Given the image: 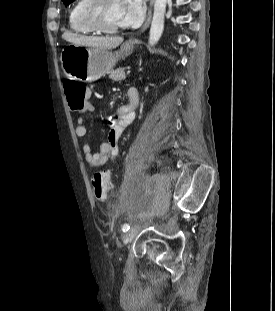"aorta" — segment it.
I'll use <instances>...</instances> for the list:
<instances>
[{
  "mask_svg": "<svg viewBox=\"0 0 275 311\" xmlns=\"http://www.w3.org/2000/svg\"><path fill=\"white\" fill-rule=\"evenodd\" d=\"M167 0H155L154 13L149 34V45L154 46L159 41L163 29Z\"/></svg>",
  "mask_w": 275,
  "mask_h": 311,
  "instance_id": "obj_1",
  "label": "aorta"
}]
</instances>
